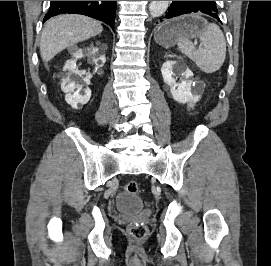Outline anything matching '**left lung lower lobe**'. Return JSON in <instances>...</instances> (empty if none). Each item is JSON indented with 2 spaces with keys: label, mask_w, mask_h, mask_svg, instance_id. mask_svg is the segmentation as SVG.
<instances>
[{
  "label": "left lung lower lobe",
  "mask_w": 271,
  "mask_h": 266,
  "mask_svg": "<svg viewBox=\"0 0 271 266\" xmlns=\"http://www.w3.org/2000/svg\"><path fill=\"white\" fill-rule=\"evenodd\" d=\"M191 12H202L221 22L218 18L219 11L216 1H172L168 12L162 17L161 21Z\"/></svg>",
  "instance_id": "obj_1"
}]
</instances>
